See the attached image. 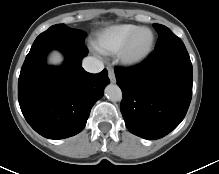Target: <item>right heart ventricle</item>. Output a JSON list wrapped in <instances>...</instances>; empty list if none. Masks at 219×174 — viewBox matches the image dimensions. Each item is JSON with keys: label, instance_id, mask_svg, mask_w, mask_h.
Returning <instances> with one entry per match:
<instances>
[{"label": "right heart ventricle", "instance_id": "1", "mask_svg": "<svg viewBox=\"0 0 219 174\" xmlns=\"http://www.w3.org/2000/svg\"><path fill=\"white\" fill-rule=\"evenodd\" d=\"M138 28L139 26L134 24L111 25L98 33L94 46L103 54H115Z\"/></svg>", "mask_w": 219, "mask_h": 174}]
</instances>
